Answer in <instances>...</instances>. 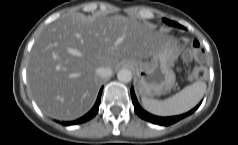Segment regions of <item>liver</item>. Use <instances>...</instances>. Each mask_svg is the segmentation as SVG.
Wrapping results in <instances>:
<instances>
[{"label": "liver", "mask_w": 238, "mask_h": 145, "mask_svg": "<svg viewBox=\"0 0 238 145\" xmlns=\"http://www.w3.org/2000/svg\"><path fill=\"white\" fill-rule=\"evenodd\" d=\"M167 42L166 36L122 15L66 14L35 40L27 66L30 92L44 114L79 118L95 102L102 82L97 68L147 59Z\"/></svg>", "instance_id": "liver-1"}]
</instances>
